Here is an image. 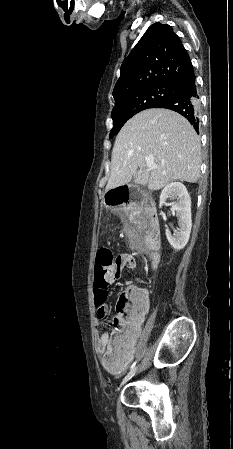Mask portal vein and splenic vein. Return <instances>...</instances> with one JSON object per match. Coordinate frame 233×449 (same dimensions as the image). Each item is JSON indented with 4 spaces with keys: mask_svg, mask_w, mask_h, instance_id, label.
<instances>
[{
    "mask_svg": "<svg viewBox=\"0 0 233 449\" xmlns=\"http://www.w3.org/2000/svg\"><path fill=\"white\" fill-rule=\"evenodd\" d=\"M146 166L149 168V169H155L157 166L155 165V163L153 162V160H150V159H148L147 161H146Z\"/></svg>",
    "mask_w": 233,
    "mask_h": 449,
    "instance_id": "portal-vein-and-splenic-vein-1",
    "label": "portal vein and splenic vein"
}]
</instances>
